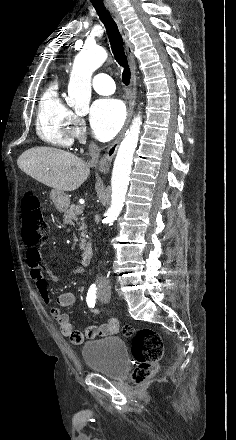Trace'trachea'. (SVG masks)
Listing matches in <instances>:
<instances>
[{
  "label": "trachea",
  "mask_w": 236,
  "mask_h": 440,
  "mask_svg": "<svg viewBox=\"0 0 236 440\" xmlns=\"http://www.w3.org/2000/svg\"><path fill=\"white\" fill-rule=\"evenodd\" d=\"M93 6L95 7L100 20L105 25L115 60L123 68L122 81L125 85H129L131 80V72L123 47V39L119 32L118 26L110 13L105 8L103 2L93 3Z\"/></svg>",
  "instance_id": "trachea-1"
}]
</instances>
